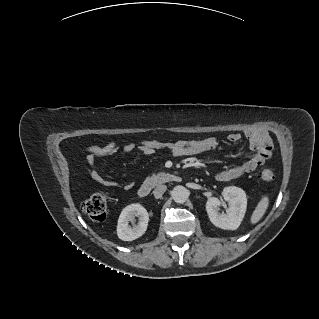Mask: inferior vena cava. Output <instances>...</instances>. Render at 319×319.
Here are the masks:
<instances>
[{"label": "inferior vena cava", "instance_id": "inferior-vena-cava-1", "mask_svg": "<svg viewBox=\"0 0 319 319\" xmlns=\"http://www.w3.org/2000/svg\"><path fill=\"white\" fill-rule=\"evenodd\" d=\"M167 190V186L166 185H159L157 186L154 191H153V195L156 199H159L164 192Z\"/></svg>", "mask_w": 319, "mask_h": 319}]
</instances>
